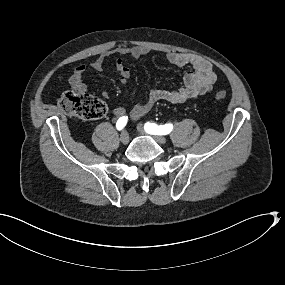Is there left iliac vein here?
I'll use <instances>...</instances> for the list:
<instances>
[{
    "mask_svg": "<svg viewBox=\"0 0 285 285\" xmlns=\"http://www.w3.org/2000/svg\"><path fill=\"white\" fill-rule=\"evenodd\" d=\"M137 130L140 134H145L143 126L141 124H138ZM152 138L159 144H165L167 141L166 138L163 136L153 135Z\"/></svg>",
    "mask_w": 285,
    "mask_h": 285,
    "instance_id": "4c4485c4",
    "label": "left iliac vein"
}]
</instances>
